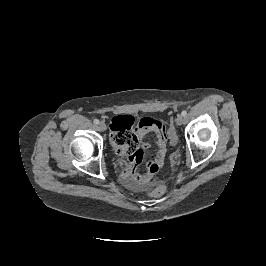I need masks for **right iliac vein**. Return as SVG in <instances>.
<instances>
[{"mask_svg":"<svg viewBox=\"0 0 266 266\" xmlns=\"http://www.w3.org/2000/svg\"><path fill=\"white\" fill-rule=\"evenodd\" d=\"M99 129L101 131H105L107 129V126L104 122L99 123Z\"/></svg>","mask_w":266,"mask_h":266,"instance_id":"63e3f726","label":"right iliac vein"}]
</instances>
